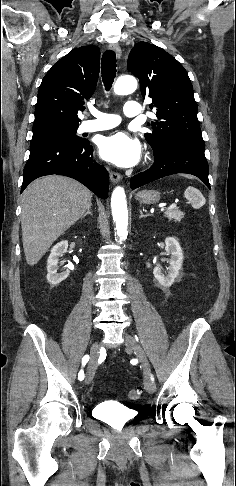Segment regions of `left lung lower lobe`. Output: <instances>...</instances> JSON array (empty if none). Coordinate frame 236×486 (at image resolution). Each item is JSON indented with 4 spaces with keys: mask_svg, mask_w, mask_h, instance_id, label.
Segmentation results:
<instances>
[{
    "mask_svg": "<svg viewBox=\"0 0 236 486\" xmlns=\"http://www.w3.org/2000/svg\"><path fill=\"white\" fill-rule=\"evenodd\" d=\"M154 156L153 166L131 179V189L176 173L195 175L211 189L208 180L209 167L203 146L175 141L159 150H154Z\"/></svg>",
    "mask_w": 236,
    "mask_h": 486,
    "instance_id": "1",
    "label": "left lung lower lobe"
}]
</instances>
